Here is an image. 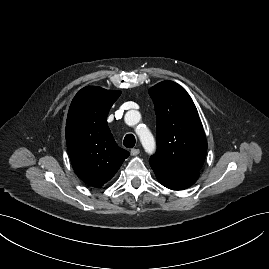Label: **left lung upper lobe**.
<instances>
[{
  "instance_id": "1",
  "label": "left lung upper lobe",
  "mask_w": 269,
  "mask_h": 269,
  "mask_svg": "<svg viewBox=\"0 0 269 269\" xmlns=\"http://www.w3.org/2000/svg\"><path fill=\"white\" fill-rule=\"evenodd\" d=\"M157 116V151L150 160L200 171L207 141L197 109L183 87L163 81L149 89Z\"/></svg>"
}]
</instances>
